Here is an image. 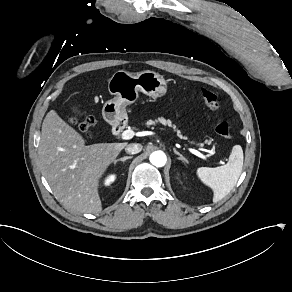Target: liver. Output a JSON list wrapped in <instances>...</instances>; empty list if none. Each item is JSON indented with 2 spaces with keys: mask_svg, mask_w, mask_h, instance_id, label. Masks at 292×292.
I'll use <instances>...</instances> for the list:
<instances>
[{
  "mask_svg": "<svg viewBox=\"0 0 292 292\" xmlns=\"http://www.w3.org/2000/svg\"><path fill=\"white\" fill-rule=\"evenodd\" d=\"M128 145L124 142L86 146L81 133L50 110L42 123L38 148L42 175L67 210L99 213L100 181Z\"/></svg>",
  "mask_w": 292,
  "mask_h": 292,
  "instance_id": "liver-1",
  "label": "liver"
}]
</instances>
